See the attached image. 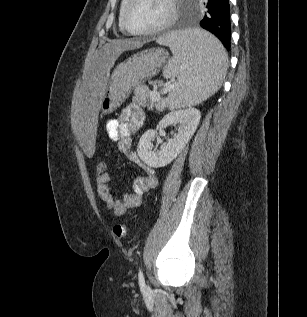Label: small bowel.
Returning a JSON list of instances; mask_svg holds the SVG:
<instances>
[{"label":"small bowel","mask_w":307,"mask_h":317,"mask_svg":"<svg viewBox=\"0 0 307 317\" xmlns=\"http://www.w3.org/2000/svg\"><path fill=\"white\" fill-rule=\"evenodd\" d=\"M144 111L136 104H130L122 109L118 118L111 119L106 124L109 138L118 144L119 150L135 162L143 171L132 183V190L117 198L112 193L113 176L106 172L97 177L96 191L100 199L116 216H124L137 209L143 203L144 194L157 184L156 171L143 163L136 153L131 151V135L143 125Z\"/></svg>","instance_id":"small-bowel-1"}]
</instances>
